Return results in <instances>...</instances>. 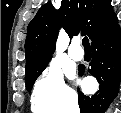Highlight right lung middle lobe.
I'll use <instances>...</instances> for the list:
<instances>
[{"instance_id":"dd1d6c3e","label":"right lung middle lobe","mask_w":121,"mask_h":113,"mask_svg":"<svg viewBox=\"0 0 121 113\" xmlns=\"http://www.w3.org/2000/svg\"><path fill=\"white\" fill-rule=\"evenodd\" d=\"M50 59H51V57L45 59L40 64H38L36 67L26 71V89H27V91H30L32 89L33 83L38 78V76L41 74V72L47 67Z\"/></svg>"}]
</instances>
